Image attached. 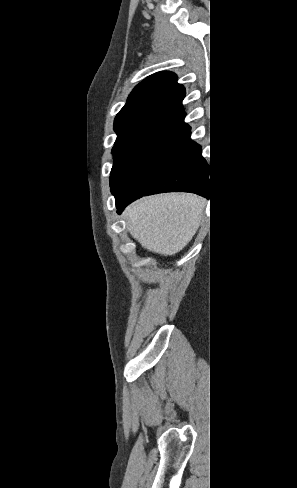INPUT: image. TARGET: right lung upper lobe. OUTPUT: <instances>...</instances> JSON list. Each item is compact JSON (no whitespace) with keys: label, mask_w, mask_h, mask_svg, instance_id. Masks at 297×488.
Masks as SVG:
<instances>
[{"label":"right lung upper lobe","mask_w":297,"mask_h":488,"mask_svg":"<svg viewBox=\"0 0 297 488\" xmlns=\"http://www.w3.org/2000/svg\"><path fill=\"white\" fill-rule=\"evenodd\" d=\"M185 89L172 72H158L139 83L117 114L114 130L118 136L142 131L180 132L184 123L182 100Z\"/></svg>","instance_id":"obj_1"}]
</instances>
